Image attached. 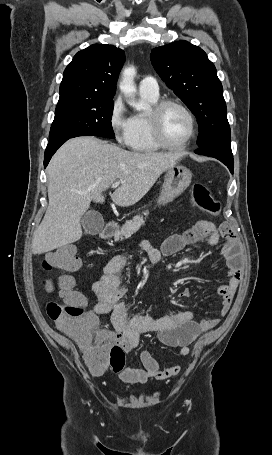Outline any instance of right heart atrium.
<instances>
[{
	"instance_id": "d8ad5b80",
	"label": "right heart atrium",
	"mask_w": 272,
	"mask_h": 455,
	"mask_svg": "<svg viewBox=\"0 0 272 455\" xmlns=\"http://www.w3.org/2000/svg\"><path fill=\"white\" fill-rule=\"evenodd\" d=\"M109 126L115 140L121 145H128L131 133V118L126 114V107L121 97L112 102L109 112Z\"/></svg>"
}]
</instances>
